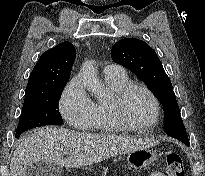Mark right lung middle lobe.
I'll list each match as a JSON object with an SVG mask.
<instances>
[{"mask_svg": "<svg viewBox=\"0 0 205 176\" xmlns=\"http://www.w3.org/2000/svg\"><path fill=\"white\" fill-rule=\"evenodd\" d=\"M65 84L44 93L25 96L15 137L24 131L45 125H62L58 101Z\"/></svg>", "mask_w": 205, "mask_h": 176, "instance_id": "obj_1", "label": "right lung middle lobe"}]
</instances>
